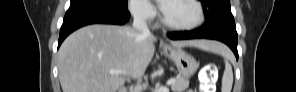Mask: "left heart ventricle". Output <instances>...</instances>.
I'll list each match as a JSON object with an SVG mask.
<instances>
[{
  "label": "left heart ventricle",
  "mask_w": 296,
  "mask_h": 92,
  "mask_svg": "<svg viewBox=\"0 0 296 92\" xmlns=\"http://www.w3.org/2000/svg\"><path fill=\"white\" fill-rule=\"evenodd\" d=\"M166 19L176 25H189L197 20V10L189 1H168L164 11Z\"/></svg>",
  "instance_id": "obj_1"
}]
</instances>
